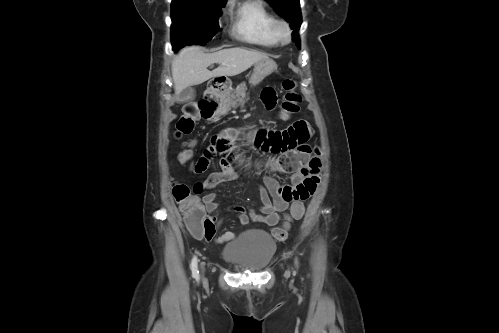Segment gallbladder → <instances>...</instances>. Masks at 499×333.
<instances>
[{
  "mask_svg": "<svg viewBox=\"0 0 499 333\" xmlns=\"http://www.w3.org/2000/svg\"><path fill=\"white\" fill-rule=\"evenodd\" d=\"M182 97L185 98L186 102H189L195 98V91L193 88H187L182 92Z\"/></svg>",
  "mask_w": 499,
  "mask_h": 333,
  "instance_id": "gallbladder-1",
  "label": "gallbladder"
}]
</instances>
